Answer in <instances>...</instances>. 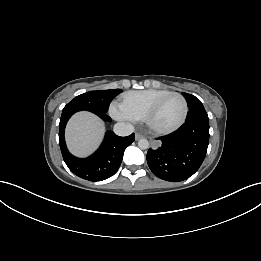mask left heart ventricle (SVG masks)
<instances>
[{
    "label": "left heart ventricle",
    "mask_w": 261,
    "mask_h": 261,
    "mask_svg": "<svg viewBox=\"0 0 261 261\" xmlns=\"http://www.w3.org/2000/svg\"><path fill=\"white\" fill-rule=\"evenodd\" d=\"M183 113V103L179 97L167 98L152 118V125L156 128L166 129L174 126Z\"/></svg>",
    "instance_id": "left-heart-ventricle-1"
}]
</instances>
